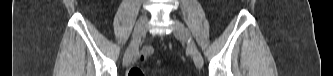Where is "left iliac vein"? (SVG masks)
Masks as SVG:
<instances>
[{
	"mask_svg": "<svg viewBox=\"0 0 333 76\" xmlns=\"http://www.w3.org/2000/svg\"><path fill=\"white\" fill-rule=\"evenodd\" d=\"M173 31H174V35L182 40V41H186L187 45H188V50L192 55L193 61L196 65L197 68H202L203 66V57L201 55V53L198 51V49L188 41L189 39V35H188V31L186 29V27L178 20H174L173 21Z\"/></svg>",
	"mask_w": 333,
	"mask_h": 76,
	"instance_id": "1",
	"label": "left iliac vein"
}]
</instances>
